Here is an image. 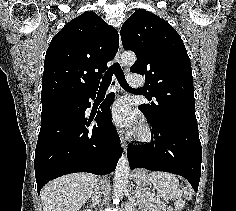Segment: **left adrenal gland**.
Segmentation results:
<instances>
[{
	"mask_svg": "<svg viewBox=\"0 0 236 211\" xmlns=\"http://www.w3.org/2000/svg\"><path fill=\"white\" fill-rule=\"evenodd\" d=\"M135 190H134V186L131 188V196H132V200L133 202H135Z\"/></svg>",
	"mask_w": 236,
	"mask_h": 211,
	"instance_id": "1",
	"label": "left adrenal gland"
}]
</instances>
